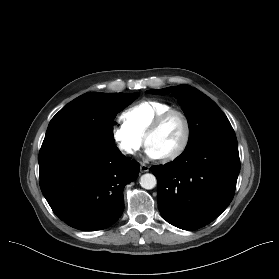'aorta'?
<instances>
[{
  "label": "aorta",
  "mask_w": 279,
  "mask_h": 279,
  "mask_svg": "<svg viewBox=\"0 0 279 279\" xmlns=\"http://www.w3.org/2000/svg\"><path fill=\"white\" fill-rule=\"evenodd\" d=\"M157 184L156 177L151 173H146L140 178V185L144 189H153Z\"/></svg>",
  "instance_id": "aorta-1"
}]
</instances>
